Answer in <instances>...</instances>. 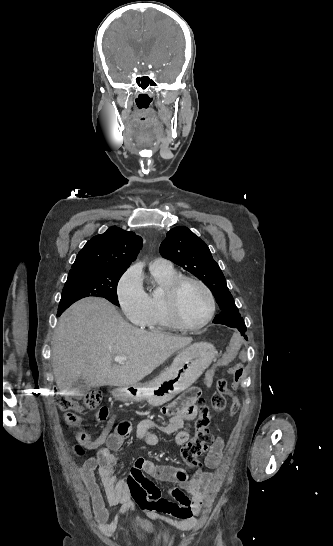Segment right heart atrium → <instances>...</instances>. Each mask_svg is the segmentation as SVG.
Listing matches in <instances>:
<instances>
[{
    "label": "right heart atrium",
    "mask_w": 333,
    "mask_h": 546,
    "mask_svg": "<svg viewBox=\"0 0 333 546\" xmlns=\"http://www.w3.org/2000/svg\"><path fill=\"white\" fill-rule=\"evenodd\" d=\"M116 300L124 316L134 324L144 323L149 303L140 276L135 268H129L116 285Z\"/></svg>",
    "instance_id": "d8ad5b80"
}]
</instances>
